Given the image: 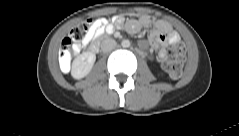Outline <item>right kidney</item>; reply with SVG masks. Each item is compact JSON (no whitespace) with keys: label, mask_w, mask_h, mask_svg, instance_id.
Masks as SVG:
<instances>
[{"label":"right kidney","mask_w":239,"mask_h":136,"mask_svg":"<svg viewBox=\"0 0 239 136\" xmlns=\"http://www.w3.org/2000/svg\"><path fill=\"white\" fill-rule=\"evenodd\" d=\"M96 60V56L91 52H83L77 56L72 63L71 75L75 79L85 77L91 71Z\"/></svg>","instance_id":"obj_1"}]
</instances>
